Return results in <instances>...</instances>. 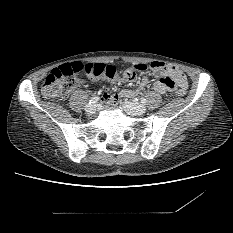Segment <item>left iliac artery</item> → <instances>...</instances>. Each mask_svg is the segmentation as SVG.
Instances as JSON below:
<instances>
[{"label":"left iliac artery","mask_w":233,"mask_h":233,"mask_svg":"<svg viewBox=\"0 0 233 233\" xmlns=\"http://www.w3.org/2000/svg\"><path fill=\"white\" fill-rule=\"evenodd\" d=\"M147 102V100L145 98L141 99V103L145 104Z\"/></svg>","instance_id":"left-iliac-artery-1"}]
</instances>
